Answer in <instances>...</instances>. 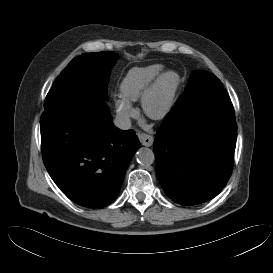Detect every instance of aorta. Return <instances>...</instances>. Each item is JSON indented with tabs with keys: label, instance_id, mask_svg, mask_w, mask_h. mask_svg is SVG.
I'll use <instances>...</instances> for the list:
<instances>
[{
	"label": "aorta",
	"instance_id": "obj_1",
	"mask_svg": "<svg viewBox=\"0 0 273 273\" xmlns=\"http://www.w3.org/2000/svg\"><path fill=\"white\" fill-rule=\"evenodd\" d=\"M136 160L142 166H150L155 160L154 152L146 147H141L135 154Z\"/></svg>",
	"mask_w": 273,
	"mask_h": 273
}]
</instances>
